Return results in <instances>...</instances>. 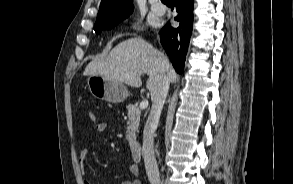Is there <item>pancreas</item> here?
Returning a JSON list of instances; mask_svg holds the SVG:
<instances>
[{"label":"pancreas","mask_w":293,"mask_h":184,"mask_svg":"<svg viewBox=\"0 0 293 184\" xmlns=\"http://www.w3.org/2000/svg\"><path fill=\"white\" fill-rule=\"evenodd\" d=\"M127 111L129 120L126 128V139L129 143H132L136 139V132H138L141 111L133 104L127 106Z\"/></svg>","instance_id":"cf45deb5"}]
</instances>
